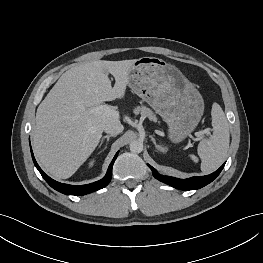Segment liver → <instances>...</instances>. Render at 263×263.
Returning <instances> with one entry per match:
<instances>
[{
	"mask_svg": "<svg viewBox=\"0 0 263 263\" xmlns=\"http://www.w3.org/2000/svg\"><path fill=\"white\" fill-rule=\"evenodd\" d=\"M134 60H95L66 71L36 112L33 146L52 176L71 177L98 145L104 127L118 119L94 114L91 109L106 101L122 99ZM112 74V87L108 75Z\"/></svg>",
	"mask_w": 263,
	"mask_h": 263,
	"instance_id": "obj_1",
	"label": "liver"
}]
</instances>
